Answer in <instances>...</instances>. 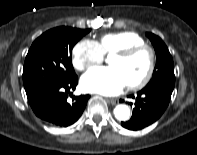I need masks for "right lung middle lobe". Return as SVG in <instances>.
I'll list each match as a JSON object with an SVG mask.
<instances>
[{"instance_id": "dd1d6c3e", "label": "right lung middle lobe", "mask_w": 197, "mask_h": 155, "mask_svg": "<svg viewBox=\"0 0 197 155\" xmlns=\"http://www.w3.org/2000/svg\"><path fill=\"white\" fill-rule=\"evenodd\" d=\"M90 29L56 27L39 36L25 59L23 83L27 97L75 75L72 49Z\"/></svg>"}]
</instances>
